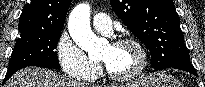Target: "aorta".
Here are the masks:
<instances>
[{
    "label": "aorta",
    "mask_w": 205,
    "mask_h": 87,
    "mask_svg": "<svg viewBox=\"0 0 205 87\" xmlns=\"http://www.w3.org/2000/svg\"><path fill=\"white\" fill-rule=\"evenodd\" d=\"M69 33L81 49L89 54L101 50L103 40L98 38L90 27V6L86 3L77 5L68 20Z\"/></svg>",
    "instance_id": "762f6f07"
}]
</instances>
